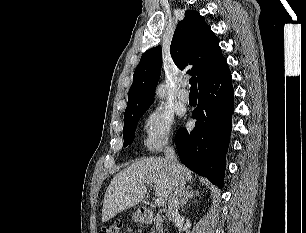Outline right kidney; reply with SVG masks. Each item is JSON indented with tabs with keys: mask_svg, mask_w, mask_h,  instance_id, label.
<instances>
[{
	"mask_svg": "<svg viewBox=\"0 0 306 233\" xmlns=\"http://www.w3.org/2000/svg\"><path fill=\"white\" fill-rule=\"evenodd\" d=\"M186 225H187L188 227H191L190 221H189L188 219L186 220Z\"/></svg>",
	"mask_w": 306,
	"mask_h": 233,
	"instance_id": "right-kidney-1",
	"label": "right kidney"
}]
</instances>
